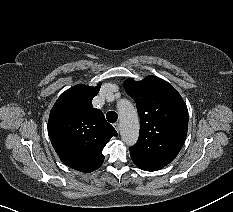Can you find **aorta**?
Listing matches in <instances>:
<instances>
[{"label": "aorta", "instance_id": "762f6f07", "mask_svg": "<svg viewBox=\"0 0 233 212\" xmlns=\"http://www.w3.org/2000/svg\"><path fill=\"white\" fill-rule=\"evenodd\" d=\"M117 106L121 138L128 146H132L137 142L139 135V119L137 111L133 104L126 99L120 100Z\"/></svg>", "mask_w": 233, "mask_h": 212}]
</instances>
